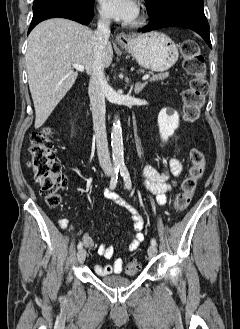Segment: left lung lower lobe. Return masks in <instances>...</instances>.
Instances as JSON below:
<instances>
[{
	"label": "left lung lower lobe",
	"instance_id": "1",
	"mask_svg": "<svg viewBox=\"0 0 240 329\" xmlns=\"http://www.w3.org/2000/svg\"><path fill=\"white\" fill-rule=\"evenodd\" d=\"M164 27H184L197 32L210 48V28L204 15L203 4L180 1L165 7L151 17L147 26L139 32H149Z\"/></svg>",
	"mask_w": 240,
	"mask_h": 329
}]
</instances>
